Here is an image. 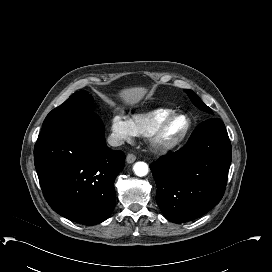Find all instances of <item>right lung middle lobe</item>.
Wrapping results in <instances>:
<instances>
[{
    "label": "right lung middle lobe",
    "instance_id": "1",
    "mask_svg": "<svg viewBox=\"0 0 272 272\" xmlns=\"http://www.w3.org/2000/svg\"><path fill=\"white\" fill-rule=\"evenodd\" d=\"M92 105V97L87 91L75 92L63 104L53 109L47 115L42 128L53 122L72 118L80 113L91 112Z\"/></svg>",
    "mask_w": 272,
    "mask_h": 272
}]
</instances>
